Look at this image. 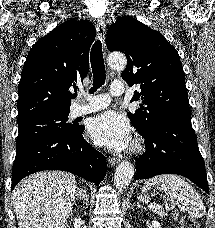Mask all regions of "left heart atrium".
Returning a JSON list of instances; mask_svg holds the SVG:
<instances>
[{
    "label": "left heart atrium",
    "instance_id": "39dd6f15",
    "mask_svg": "<svg viewBox=\"0 0 215 228\" xmlns=\"http://www.w3.org/2000/svg\"><path fill=\"white\" fill-rule=\"evenodd\" d=\"M88 131L95 144L115 150L126 149L132 140L128 119L114 111H106L92 118Z\"/></svg>",
    "mask_w": 215,
    "mask_h": 228
}]
</instances>
